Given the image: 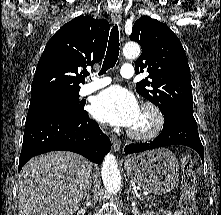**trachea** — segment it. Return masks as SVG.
Here are the masks:
<instances>
[{
	"label": "trachea",
	"instance_id": "1",
	"mask_svg": "<svg viewBox=\"0 0 221 215\" xmlns=\"http://www.w3.org/2000/svg\"><path fill=\"white\" fill-rule=\"evenodd\" d=\"M119 46V31L118 26L115 25L111 29L106 56L102 65V69L100 71L101 75L106 73L108 69L115 66L119 56ZM85 75L87 76L89 75V73H86Z\"/></svg>",
	"mask_w": 221,
	"mask_h": 215
}]
</instances>
